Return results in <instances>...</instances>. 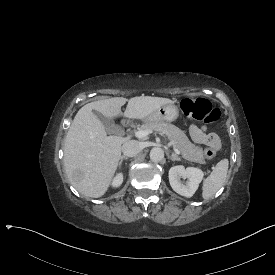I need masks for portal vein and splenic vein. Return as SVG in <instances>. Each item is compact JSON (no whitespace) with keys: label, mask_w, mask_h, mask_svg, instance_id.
Listing matches in <instances>:
<instances>
[{"label":"portal vein and splenic vein","mask_w":275,"mask_h":275,"mask_svg":"<svg viewBox=\"0 0 275 275\" xmlns=\"http://www.w3.org/2000/svg\"><path fill=\"white\" fill-rule=\"evenodd\" d=\"M150 133H152L151 130L137 131V132H135V136H136L137 138H143V137L149 135ZM171 145H172V143H168V146H171ZM174 151H175L177 154H179V150H178V149L174 148Z\"/></svg>","instance_id":"portal-vein-and-splenic-vein-1"}]
</instances>
